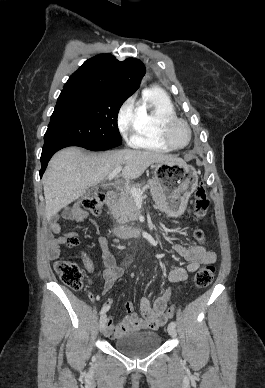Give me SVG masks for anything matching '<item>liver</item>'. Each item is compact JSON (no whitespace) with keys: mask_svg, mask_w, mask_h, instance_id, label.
<instances>
[{"mask_svg":"<svg viewBox=\"0 0 265 388\" xmlns=\"http://www.w3.org/2000/svg\"><path fill=\"white\" fill-rule=\"evenodd\" d=\"M185 164L181 158H172L148 150H119L100 156H85L80 148H64L51 158L43 176L46 202V220L62 208L86 194L87 188L101 184L117 166H125L120 174L123 180H135L151 164Z\"/></svg>","mask_w":265,"mask_h":388,"instance_id":"1","label":"liver"}]
</instances>
